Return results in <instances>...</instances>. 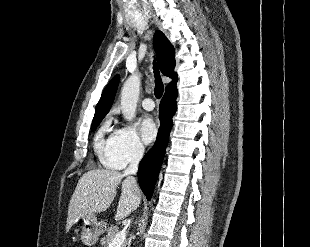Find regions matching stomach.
Instances as JSON below:
<instances>
[{
  "label": "stomach",
  "instance_id": "obj_1",
  "mask_svg": "<svg viewBox=\"0 0 310 247\" xmlns=\"http://www.w3.org/2000/svg\"><path fill=\"white\" fill-rule=\"evenodd\" d=\"M82 219L83 225L81 227L80 240L84 245L92 246L104 232L105 224L99 222L95 214Z\"/></svg>",
  "mask_w": 310,
  "mask_h": 247
}]
</instances>
